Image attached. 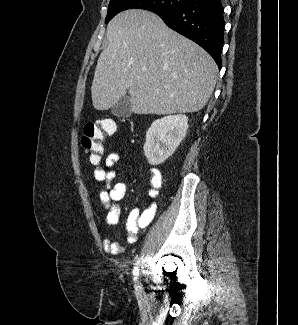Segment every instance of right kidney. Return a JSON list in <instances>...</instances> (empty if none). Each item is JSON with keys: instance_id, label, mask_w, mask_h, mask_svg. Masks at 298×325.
Instances as JSON below:
<instances>
[{"instance_id": "1", "label": "right kidney", "mask_w": 298, "mask_h": 325, "mask_svg": "<svg viewBox=\"0 0 298 325\" xmlns=\"http://www.w3.org/2000/svg\"><path fill=\"white\" fill-rule=\"evenodd\" d=\"M188 124L186 114H168L153 120L146 132L144 154L149 165H161L183 140Z\"/></svg>"}]
</instances>
